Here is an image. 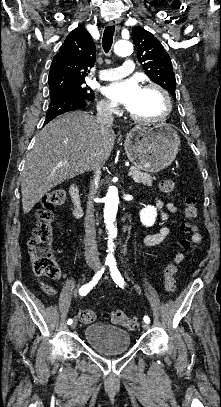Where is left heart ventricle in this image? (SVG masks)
<instances>
[{"instance_id": "obj_1", "label": "left heart ventricle", "mask_w": 221, "mask_h": 407, "mask_svg": "<svg viewBox=\"0 0 221 407\" xmlns=\"http://www.w3.org/2000/svg\"><path fill=\"white\" fill-rule=\"evenodd\" d=\"M130 110L139 117H158L164 111L163 97L155 89H142Z\"/></svg>"}]
</instances>
